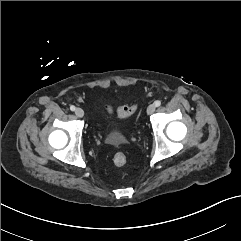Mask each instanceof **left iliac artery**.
I'll list each match as a JSON object with an SVG mask.
<instances>
[{"instance_id":"44dca946","label":"left iliac artery","mask_w":241,"mask_h":241,"mask_svg":"<svg viewBox=\"0 0 241 241\" xmlns=\"http://www.w3.org/2000/svg\"><path fill=\"white\" fill-rule=\"evenodd\" d=\"M154 104H155L156 107H159L161 105V101L157 100V101L154 102Z\"/></svg>"}]
</instances>
